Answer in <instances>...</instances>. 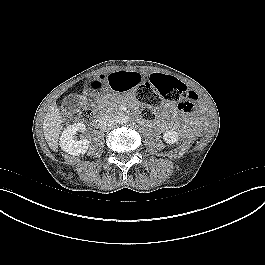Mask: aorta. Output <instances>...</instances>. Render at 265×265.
<instances>
[{"mask_svg":"<svg viewBox=\"0 0 265 265\" xmlns=\"http://www.w3.org/2000/svg\"><path fill=\"white\" fill-rule=\"evenodd\" d=\"M114 119L117 124H122L125 122V116L121 114L116 115Z\"/></svg>","mask_w":265,"mask_h":265,"instance_id":"aorta-1","label":"aorta"}]
</instances>
